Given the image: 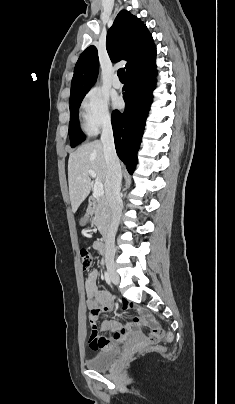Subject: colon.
<instances>
[{"label":"colon","mask_w":235,"mask_h":404,"mask_svg":"<svg viewBox=\"0 0 235 404\" xmlns=\"http://www.w3.org/2000/svg\"><path fill=\"white\" fill-rule=\"evenodd\" d=\"M80 255V260H81V267L83 270H88L91 267L92 264V255L90 251L82 247L79 251ZM151 330L148 333V339L152 343H159L162 342L163 340L170 341L171 340V335L169 333L165 334L161 329L152 326L150 324ZM89 329H90V334L92 337L95 338V341L97 344H101L104 342L103 338L96 339L97 335V325H96V318L95 315H89Z\"/></svg>","instance_id":"colon-1"}]
</instances>
